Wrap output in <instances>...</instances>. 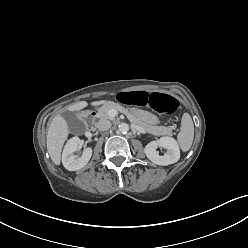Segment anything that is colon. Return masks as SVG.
I'll return each mask as SVG.
<instances>
[{
    "label": "colon",
    "instance_id": "colon-1",
    "mask_svg": "<svg viewBox=\"0 0 248 248\" xmlns=\"http://www.w3.org/2000/svg\"><path fill=\"white\" fill-rule=\"evenodd\" d=\"M117 99L122 104L149 105L155 111L163 114L174 113L179 106L176 98L164 93H149L147 91H122Z\"/></svg>",
    "mask_w": 248,
    "mask_h": 248
}]
</instances>
